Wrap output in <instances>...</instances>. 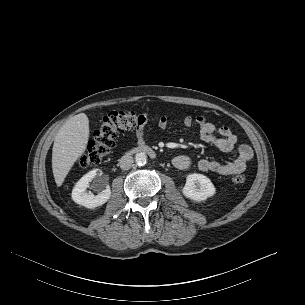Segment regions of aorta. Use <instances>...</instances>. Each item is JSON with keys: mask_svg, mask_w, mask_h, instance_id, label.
Listing matches in <instances>:
<instances>
[{"mask_svg": "<svg viewBox=\"0 0 305 305\" xmlns=\"http://www.w3.org/2000/svg\"><path fill=\"white\" fill-rule=\"evenodd\" d=\"M135 162L139 166H143L147 162V155L143 152L137 153L135 155Z\"/></svg>", "mask_w": 305, "mask_h": 305, "instance_id": "762f6f07", "label": "aorta"}]
</instances>
